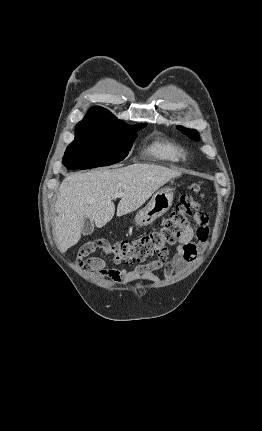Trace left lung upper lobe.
<instances>
[{"label":"left lung upper lobe","mask_w":262,"mask_h":431,"mask_svg":"<svg viewBox=\"0 0 262 431\" xmlns=\"http://www.w3.org/2000/svg\"><path fill=\"white\" fill-rule=\"evenodd\" d=\"M179 130H181L182 131V133H184V134H186V135H188V137L189 138H191V139H193V140H195V141H198L199 140V135H198V132L196 131V130H190V129H186V128H184V127H182V126H178L177 127Z\"/></svg>","instance_id":"5c2ea615"}]
</instances>
